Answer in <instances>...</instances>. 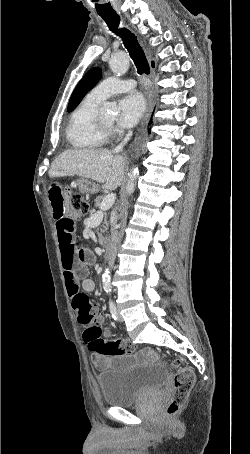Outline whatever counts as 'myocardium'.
Listing matches in <instances>:
<instances>
[{
  "instance_id": "f54148a6",
  "label": "myocardium",
  "mask_w": 250,
  "mask_h": 454,
  "mask_svg": "<svg viewBox=\"0 0 250 454\" xmlns=\"http://www.w3.org/2000/svg\"><path fill=\"white\" fill-rule=\"evenodd\" d=\"M96 126L99 132L104 136L105 140L112 135V125L105 124L98 114L96 116Z\"/></svg>"
}]
</instances>
